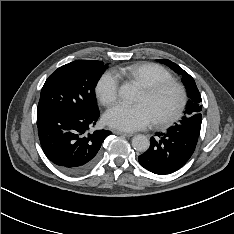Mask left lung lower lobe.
<instances>
[{
    "label": "left lung lower lobe",
    "mask_w": 234,
    "mask_h": 234,
    "mask_svg": "<svg viewBox=\"0 0 234 234\" xmlns=\"http://www.w3.org/2000/svg\"><path fill=\"white\" fill-rule=\"evenodd\" d=\"M150 139L149 149L138 157L142 167L165 175L180 169L192 156L199 135L180 126H173L166 133H157Z\"/></svg>",
    "instance_id": "0a47b994"
}]
</instances>
